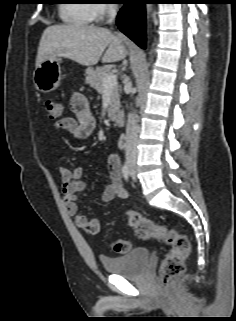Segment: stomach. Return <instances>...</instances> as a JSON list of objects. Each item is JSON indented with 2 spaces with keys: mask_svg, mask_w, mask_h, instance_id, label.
Segmentation results:
<instances>
[{
  "mask_svg": "<svg viewBox=\"0 0 236 321\" xmlns=\"http://www.w3.org/2000/svg\"><path fill=\"white\" fill-rule=\"evenodd\" d=\"M61 80V59L59 57L43 61L33 73L36 89L49 93L57 89Z\"/></svg>",
  "mask_w": 236,
  "mask_h": 321,
  "instance_id": "0dacf381",
  "label": "stomach"
}]
</instances>
